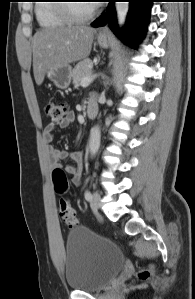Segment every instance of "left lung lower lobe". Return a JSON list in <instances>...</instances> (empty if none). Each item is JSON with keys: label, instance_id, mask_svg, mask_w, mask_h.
<instances>
[{"label": "left lung lower lobe", "instance_id": "left-lung-lower-lobe-1", "mask_svg": "<svg viewBox=\"0 0 195 299\" xmlns=\"http://www.w3.org/2000/svg\"><path fill=\"white\" fill-rule=\"evenodd\" d=\"M130 2L129 12L127 16V22L122 32L118 33L116 24V13L114 8V2L116 0H110L107 8V13L98 17L93 23V27H101L109 23L112 31L118 35V37L125 44L132 48H136L139 40H141L146 32L147 25L150 16L149 4L153 0H127Z\"/></svg>", "mask_w": 195, "mask_h": 299}]
</instances>
